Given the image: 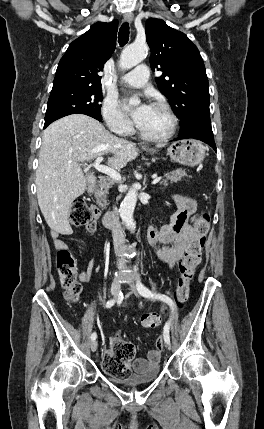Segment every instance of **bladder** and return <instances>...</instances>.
I'll return each mask as SVG.
<instances>
[{"label":"bladder","mask_w":264,"mask_h":429,"mask_svg":"<svg viewBox=\"0 0 264 429\" xmlns=\"http://www.w3.org/2000/svg\"><path fill=\"white\" fill-rule=\"evenodd\" d=\"M160 374L159 365L153 366L149 368L147 371L143 373H132L126 377H116L109 374V379L122 386L126 387H136L144 384H148L157 379Z\"/></svg>","instance_id":"31cf9c89"}]
</instances>
